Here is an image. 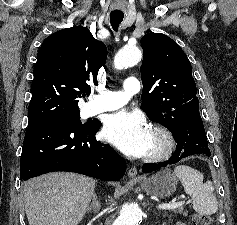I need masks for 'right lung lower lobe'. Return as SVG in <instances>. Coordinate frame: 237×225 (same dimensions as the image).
Segmentation results:
<instances>
[{
  "instance_id": "98d812e1",
  "label": "right lung lower lobe",
  "mask_w": 237,
  "mask_h": 225,
  "mask_svg": "<svg viewBox=\"0 0 237 225\" xmlns=\"http://www.w3.org/2000/svg\"><path fill=\"white\" fill-rule=\"evenodd\" d=\"M100 127L99 121L81 127L50 119L29 121L20 161L21 180L54 171L120 180L126 162L111 146L96 141Z\"/></svg>"
}]
</instances>
